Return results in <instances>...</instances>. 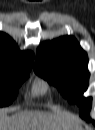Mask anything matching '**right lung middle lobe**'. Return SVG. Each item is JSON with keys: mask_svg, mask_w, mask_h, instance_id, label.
I'll use <instances>...</instances> for the list:
<instances>
[{"mask_svg": "<svg viewBox=\"0 0 95 130\" xmlns=\"http://www.w3.org/2000/svg\"><path fill=\"white\" fill-rule=\"evenodd\" d=\"M30 70H0V106L10 104L18 93V88L29 76Z\"/></svg>", "mask_w": 95, "mask_h": 130, "instance_id": "obj_1", "label": "right lung middle lobe"}]
</instances>
